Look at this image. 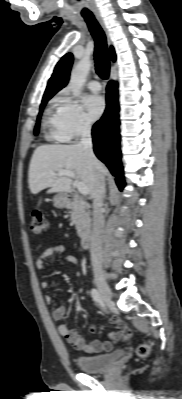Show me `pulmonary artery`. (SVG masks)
<instances>
[{"mask_svg": "<svg viewBox=\"0 0 182 399\" xmlns=\"http://www.w3.org/2000/svg\"><path fill=\"white\" fill-rule=\"evenodd\" d=\"M88 87H89V89H90L92 92H95V93L101 91V84H100V82L97 81V80H92L91 82H89Z\"/></svg>", "mask_w": 182, "mask_h": 399, "instance_id": "obj_1", "label": "pulmonary artery"}]
</instances>
